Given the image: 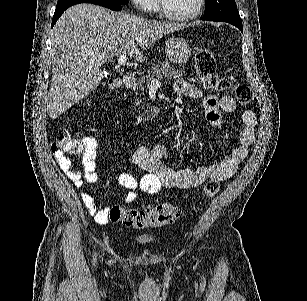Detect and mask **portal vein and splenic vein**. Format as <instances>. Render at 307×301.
<instances>
[{
  "instance_id": "obj_1",
  "label": "portal vein and splenic vein",
  "mask_w": 307,
  "mask_h": 301,
  "mask_svg": "<svg viewBox=\"0 0 307 301\" xmlns=\"http://www.w3.org/2000/svg\"><path fill=\"white\" fill-rule=\"evenodd\" d=\"M117 64H121V66L122 64H128L127 54H119V56H117ZM150 86H160L159 80H157V78H154V80H151Z\"/></svg>"
}]
</instances>
